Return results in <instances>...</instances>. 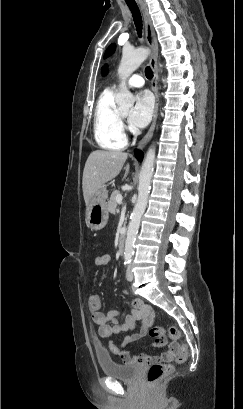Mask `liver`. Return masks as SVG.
I'll return each mask as SVG.
<instances>
[{"label": "liver", "mask_w": 243, "mask_h": 409, "mask_svg": "<svg viewBox=\"0 0 243 409\" xmlns=\"http://www.w3.org/2000/svg\"><path fill=\"white\" fill-rule=\"evenodd\" d=\"M128 154L121 151H93L84 167L82 189L86 206L89 205L96 192L105 183L115 178L121 171ZM129 164L126 166L124 178L129 172Z\"/></svg>", "instance_id": "1"}]
</instances>
